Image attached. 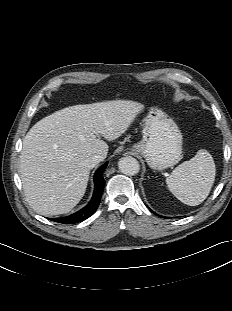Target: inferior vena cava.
Returning a JSON list of instances; mask_svg holds the SVG:
<instances>
[{
	"mask_svg": "<svg viewBox=\"0 0 232 311\" xmlns=\"http://www.w3.org/2000/svg\"><path fill=\"white\" fill-rule=\"evenodd\" d=\"M105 159V157L103 155L100 154H95L92 155L91 157H89L86 160V165L92 169L93 167H95L98 163H100L101 161H103Z\"/></svg>",
	"mask_w": 232,
	"mask_h": 311,
	"instance_id": "1",
	"label": "inferior vena cava"
}]
</instances>
